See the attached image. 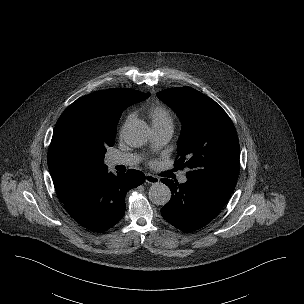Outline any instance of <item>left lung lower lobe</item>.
<instances>
[{
    "label": "left lung lower lobe",
    "mask_w": 304,
    "mask_h": 304,
    "mask_svg": "<svg viewBox=\"0 0 304 304\" xmlns=\"http://www.w3.org/2000/svg\"><path fill=\"white\" fill-rule=\"evenodd\" d=\"M161 181L172 192V197L161 209V214L167 222L184 232L207 225L218 215L232 194L193 180H187L183 184L167 178H162Z\"/></svg>",
    "instance_id": "0a47b994"
}]
</instances>
